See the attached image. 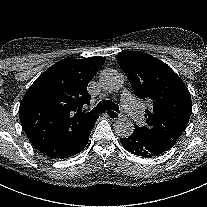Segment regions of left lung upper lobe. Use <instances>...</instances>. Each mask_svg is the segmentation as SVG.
I'll return each instance as SVG.
<instances>
[{
    "instance_id": "left-lung-upper-lobe-1",
    "label": "left lung upper lobe",
    "mask_w": 207,
    "mask_h": 207,
    "mask_svg": "<svg viewBox=\"0 0 207 207\" xmlns=\"http://www.w3.org/2000/svg\"><path fill=\"white\" fill-rule=\"evenodd\" d=\"M117 59L138 98L152 104L147 125L135 126L170 149L185 130L192 113L191 95L180 77L164 62L143 52H121Z\"/></svg>"
}]
</instances>
